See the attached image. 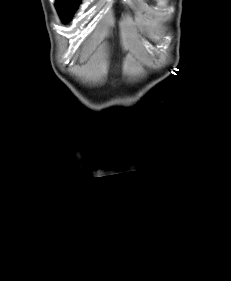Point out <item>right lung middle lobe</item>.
Returning a JSON list of instances; mask_svg holds the SVG:
<instances>
[{
    "label": "right lung middle lobe",
    "mask_w": 231,
    "mask_h": 281,
    "mask_svg": "<svg viewBox=\"0 0 231 281\" xmlns=\"http://www.w3.org/2000/svg\"><path fill=\"white\" fill-rule=\"evenodd\" d=\"M79 2V0H58L56 7L65 21L70 19L72 11L78 7Z\"/></svg>",
    "instance_id": "dd1d6c3e"
}]
</instances>
